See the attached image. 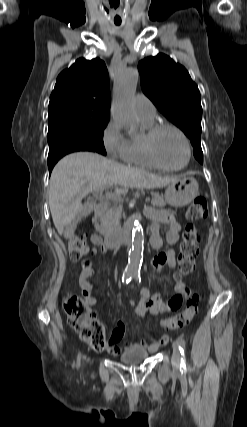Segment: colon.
I'll use <instances>...</instances> for the list:
<instances>
[{"mask_svg": "<svg viewBox=\"0 0 247 427\" xmlns=\"http://www.w3.org/2000/svg\"><path fill=\"white\" fill-rule=\"evenodd\" d=\"M207 215L208 206L204 197H197L188 207L187 218L189 224L185 228L180 244L177 278L186 276L195 269L194 258L198 253L199 234L194 223L205 219ZM68 249L70 258L73 261L81 260L89 252L86 240L78 235L70 238ZM199 302L198 295L190 297L181 311L163 321L164 327L168 330H177L188 325L198 313ZM62 305L69 325L79 334L80 338L93 350H106L108 340H106L104 328L94 318L84 297L71 292L67 293L63 297Z\"/></svg>", "mask_w": 247, "mask_h": 427, "instance_id": "1", "label": "colon"}]
</instances>
